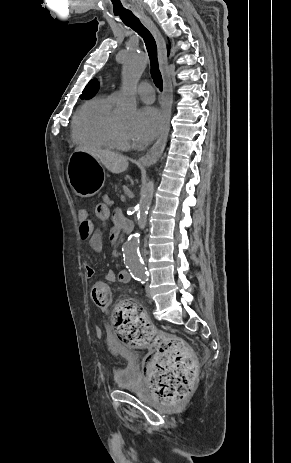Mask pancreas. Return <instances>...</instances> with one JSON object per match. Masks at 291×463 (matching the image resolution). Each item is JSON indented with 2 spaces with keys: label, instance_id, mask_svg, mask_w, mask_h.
Wrapping results in <instances>:
<instances>
[{
  "label": "pancreas",
  "instance_id": "pancreas-1",
  "mask_svg": "<svg viewBox=\"0 0 291 463\" xmlns=\"http://www.w3.org/2000/svg\"><path fill=\"white\" fill-rule=\"evenodd\" d=\"M108 192L119 197L121 193V184L119 182L110 183L108 186Z\"/></svg>",
  "mask_w": 291,
  "mask_h": 463
}]
</instances>
